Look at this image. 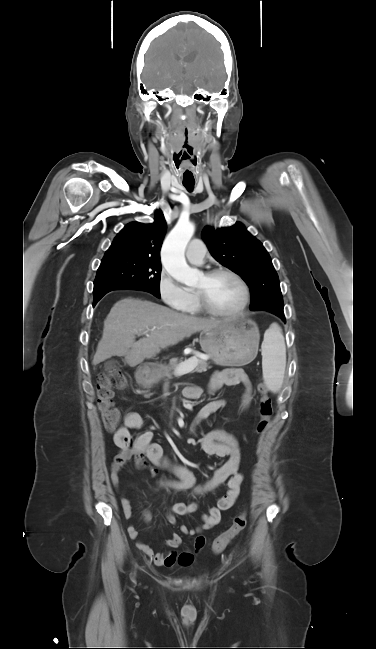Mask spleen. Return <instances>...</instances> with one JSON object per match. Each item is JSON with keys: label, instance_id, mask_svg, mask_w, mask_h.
<instances>
[{"label": "spleen", "instance_id": "3e777b00", "mask_svg": "<svg viewBox=\"0 0 376 649\" xmlns=\"http://www.w3.org/2000/svg\"><path fill=\"white\" fill-rule=\"evenodd\" d=\"M264 382L269 390L278 392L283 383L286 367V347L277 324H273L264 335L261 346Z\"/></svg>", "mask_w": 376, "mask_h": 649}]
</instances>
